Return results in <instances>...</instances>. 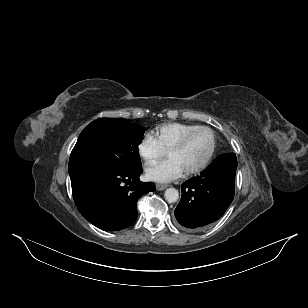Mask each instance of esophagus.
Here are the masks:
<instances>
[{
    "label": "esophagus",
    "mask_w": 308,
    "mask_h": 308,
    "mask_svg": "<svg viewBox=\"0 0 308 308\" xmlns=\"http://www.w3.org/2000/svg\"><path fill=\"white\" fill-rule=\"evenodd\" d=\"M156 187H157V190L162 191V190H165L168 187V185H166V184H157Z\"/></svg>",
    "instance_id": "obj_1"
}]
</instances>
